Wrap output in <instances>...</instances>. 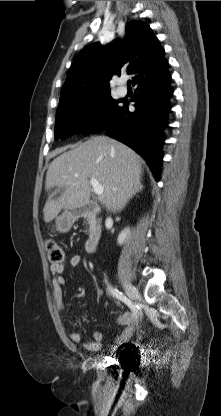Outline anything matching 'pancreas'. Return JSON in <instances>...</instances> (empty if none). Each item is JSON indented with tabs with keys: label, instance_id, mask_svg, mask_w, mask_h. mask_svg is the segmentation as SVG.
<instances>
[{
	"label": "pancreas",
	"instance_id": "cf45deb5",
	"mask_svg": "<svg viewBox=\"0 0 221 416\" xmlns=\"http://www.w3.org/2000/svg\"><path fill=\"white\" fill-rule=\"evenodd\" d=\"M91 219L94 221V222H98V223H100V219H98V220H95V217H93L92 215H91ZM100 227V226H99Z\"/></svg>",
	"mask_w": 221,
	"mask_h": 416
}]
</instances>
